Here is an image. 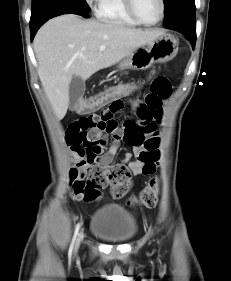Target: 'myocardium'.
Here are the masks:
<instances>
[{
  "mask_svg": "<svg viewBox=\"0 0 231 281\" xmlns=\"http://www.w3.org/2000/svg\"><path fill=\"white\" fill-rule=\"evenodd\" d=\"M123 1H124L126 10L129 13V15L139 24H142L145 26H155V25H158L159 23H161L165 17V10H166L165 0H160V4H161L160 17L154 22H147L139 16V14L135 8L134 0H123Z\"/></svg>",
  "mask_w": 231,
  "mask_h": 281,
  "instance_id": "1",
  "label": "myocardium"
}]
</instances>
